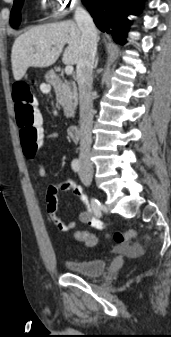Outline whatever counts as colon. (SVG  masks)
Instances as JSON below:
<instances>
[{"instance_id": "5ec220e1", "label": "colon", "mask_w": 171, "mask_h": 337, "mask_svg": "<svg viewBox=\"0 0 171 337\" xmlns=\"http://www.w3.org/2000/svg\"><path fill=\"white\" fill-rule=\"evenodd\" d=\"M13 99L21 146L24 155L32 160L44 144L45 126H41V115L36 108L28 83L19 82L14 85ZM75 236L87 247L97 243L95 235L88 231H77ZM147 239V236H142L135 230L117 231L113 234L114 243L127 252H139L142 242Z\"/></svg>"}]
</instances>
